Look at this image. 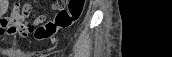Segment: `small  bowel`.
<instances>
[{
  "label": "small bowel",
  "instance_id": "c3829d8e",
  "mask_svg": "<svg viewBox=\"0 0 172 57\" xmlns=\"http://www.w3.org/2000/svg\"><path fill=\"white\" fill-rule=\"evenodd\" d=\"M25 6L30 7L29 4L22 5L21 1H15L10 7L7 0H0V39L14 36L25 38L33 34L35 39L44 40L41 39V35L44 32L42 23L45 21L46 15H38L31 23L29 22L31 14L24 15L22 13Z\"/></svg>",
  "mask_w": 172,
  "mask_h": 57
}]
</instances>
